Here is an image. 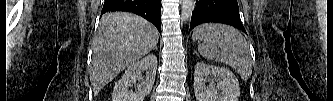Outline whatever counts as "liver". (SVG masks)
Returning <instances> with one entry per match:
<instances>
[{
  "instance_id": "obj_1",
  "label": "liver",
  "mask_w": 333,
  "mask_h": 101,
  "mask_svg": "<svg viewBox=\"0 0 333 101\" xmlns=\"http://www.w3.org/2000/svg\"><path fill=\"white\" fill-rule=\"evenodd\" d=\"M158 38L155 26L137 15L113 12L103 16L90 64L94 96L127 66L155 48Z\"/></svg>"
}]
</instances>
